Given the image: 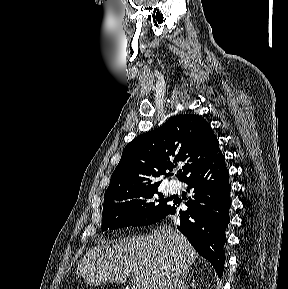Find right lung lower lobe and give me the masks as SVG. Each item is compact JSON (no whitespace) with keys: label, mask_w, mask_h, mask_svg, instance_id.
I'll return each mask as SVG.
<instances>
[{"label":"right lung lower lobe","mask_w":288,"mask_h":289,"mask_svg":"<svg viewBox=\"0 0 288 289\" xmlns=\"http://www.w3.org/2000/svg\"><path fill=\"white\" fill-rule=\"evenodd\" d=\"M184 182L194 195L182 211L179 203L163 215H179L177 228L187 237L196 251L206 258L215 268L218 276L223 273L226 242L225 230L230 222L231 206L229 172L221 152L210 162L191 173ZM162 218V219H163Z\"/></svg>","instance_id":"98d812e1"}]
</instances>
